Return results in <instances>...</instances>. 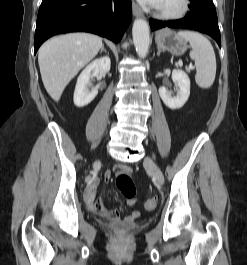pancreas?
Segmentation results:
<instances>
[{
    "instance_id": "pancreas-1",
    "label": "pancreas",
    "mask_w": 247,
    "mask_h": 265,
    "mask_svg": "<svg viewBox=\"0 0 247 265\" xmlns=\"http://www.w3.org/2000/svg\"><path fill=\"white\" fill-rule=\"evenodd\" d=\"M186 70L189 72L190 71V68H187Z\"/></svg>"
}]
</instances>
